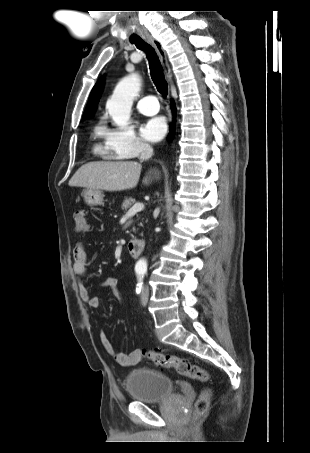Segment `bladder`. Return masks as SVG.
Returning a JSON list of instances; mask_svg holds the SVG:
<instances>
[{"mask_svg":"<svg viewBox=\"0 0 310 453\" xmlns=\"http://www.w3.org/2000/svg\"><path fill=\"white\" fill-rule=\"evenodd\" d=\"M125 387L132 400L157 403L173 395L172 380L158 371L138 368L126 377Z\"/></svg>","mask_w":310,"mask_h":453,"instance_id":"obj_1","label":"bladder"}]
</instances>
